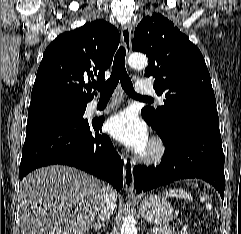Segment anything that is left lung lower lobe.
Instances as JSON below:
<instances>
[{"label": "left lung lower lobe", "mask_w": 241, "mask_h": 234, "mask_svg": "<svg viewBox=\"0 0 241 234\" xmlns=\"http://www.w3.org/2000/svg\"><path fill=\"white\" fill-rule=\"evenodd\" d=\"M163 143L166 150L160 165L133 168L137 193L179 179L200 178L213 185L224 198V154L218 125L182 122Z\"/></svg>", "instance_id": "1"}]
</instances>
